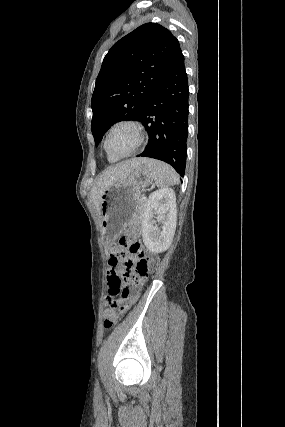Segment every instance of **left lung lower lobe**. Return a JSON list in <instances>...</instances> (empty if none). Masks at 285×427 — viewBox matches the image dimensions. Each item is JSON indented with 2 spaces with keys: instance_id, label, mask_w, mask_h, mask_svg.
Wrapping results in <instances>:
<instances>
[{
  "instance_id": "1",
  "label": "left lung lower lobe",
  "mask_w": 285,
  "mask_h": 427,
  "mask_svg": "<svg viewBox=\"0 0 285 427\" xmlns=\"http://www.w3.org/2000/svg\"><path fill=\"white\" fill-rule=\"evenodd\" d=\"M188 82L181 53L160 81L138 121L149 134L145 150L137 155L170 164L185 173L188 137Z\"/></svg>"
}]
</instances>
